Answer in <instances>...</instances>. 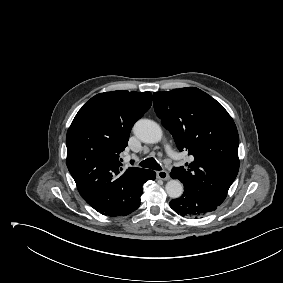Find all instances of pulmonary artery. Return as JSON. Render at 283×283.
<instances>
[{
  "mask_svg": "<svg viewBox=\"0 0 283 283\" xmlns=\"http://www.w3.org/2000/svg\"><path fill=\"white\" fill-rule=\"evenodd\" d=\"M167 151H168V153H169L170 155L173 156V152L171 151V149H170L169 147L167 148Z\"/></svg>",
  "mask_w": 283,
  "mask_h": 283,
  "instance_id": "obj_1",
  "label": "pulmonary artery"
}]
</instances>
